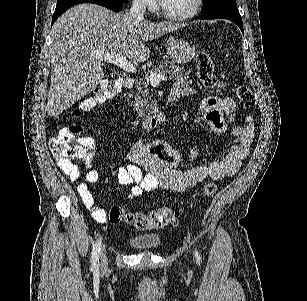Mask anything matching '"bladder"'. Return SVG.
I'll list each match as a JSON object with an SVG mask.
<instances>
[{"mask_svg":"<svg viewBox=\"0 0 307 301\" xmlns=\"http://www.w3.org/2000/svg\"><path fill=\"white\" fill-rule=\"evenodd\" d=\"M161 235H132L129 244L135 250H152L160 245Z\"/></svg>","mask_w":307,"mask_h":301,"instance_id":"31cf9c89","label":"bladder"}]
</instances>
